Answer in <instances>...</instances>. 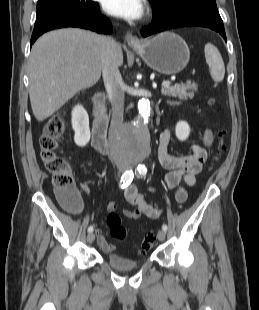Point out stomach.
<instances>
[{
  "label": "stomach",
  "instance_id": "stomach-1",
  "mask_svg": "<svg viewBox=\"0 0 259 310\" xmlns=\"http://www.w3.org/2000/svg\"><path fill=\"white\" fill-rule=\"evenodd\" d=\"M133 49L150 68L167 75L184 70L190 59L186 42L171 32L161 33Z\"/></svg>",
  "mask_w": 259,
  "mask_h": 310
}]
</instances>
